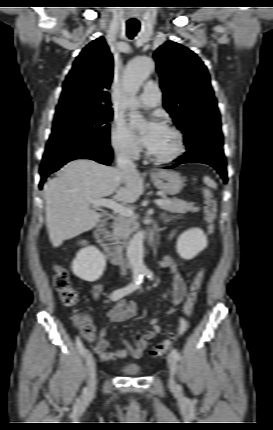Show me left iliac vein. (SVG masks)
<instances>
[{
  "label": "left iliac vein",
  "mask_w": 273,
  "mask_h": 430,
  "mask_svg": "<svg viewBox=\"0 0 273 430\" xmlns=\"http://www.w3.org/2000/svg\"><path fill=\"white\" fill-rule=\"evenodd\" d=\"M168 365H169V369H170L169 385H170L171 389L175 390L178 387L176 382H175V378H174L175 373H176L177 364H176V359L172 353H170L168 355Z\"/></svg>",
  "instance_id": "4c4485c4"
}]
</instances>
